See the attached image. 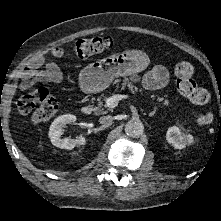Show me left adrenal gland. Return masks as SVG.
I'll list each match as a JSON object with an SVG mask.
<instances>
[{"label":"left adrenal gland","mask_w":221,"mask_h":221,"mask_svg":"<svg viewBox=\"0 0 221 221\" xmlns=\"http://www.w3.org/2000/svg\"><path fill=\"white\" fill-rule=\"evenodd\" d=\"M155 113H156V109H154V111H153V112H151V113L149 114V116H150V117H152V116H154V115H155Z\"/></svg>","instance_id":"1"}]
</instances>
